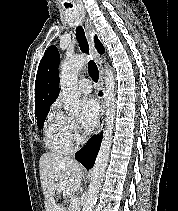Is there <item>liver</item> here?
Segmentation results:
<instances>
[{
  "label": "liver",
  "instance_id": "1",
  "mask_svg": "<svg viewBox=\"0 0 178 211\" xmlns=\"http://www.w3.org/2000/svg\"><path fill=\"white\" fill-rule=\"evenodd\" d=\"M40 180L45 198L46 211H66L64 201L58 203L56 193L58 184H65L62 198L74 196L80 188L84 173L82 166L75 160L53 152H46L39 161Z\"/></svg>",
  "mask_w": 178,
  "mask_h": 211
}]
</instances>
